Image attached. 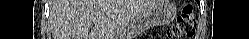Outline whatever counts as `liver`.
<instances>
[{"label":"liver","mask_w":249,"mask_h":39,"mask_svg":"<svg viewBox=\"0 0 249 39\" xmlns=\"http://www.w3.org/2000/svg\"><path fill=\"white\" fill-rule=\"evenodd\" d=\"M156 0H59L52 7L54 39H118ZM92 22L94 28L89 32Z\"/></svg>","instance_id":"1"}]
</instances>
